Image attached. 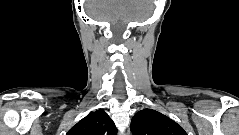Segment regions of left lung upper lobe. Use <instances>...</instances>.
<instances>
[{
	"label": "left lung upper lobe",
	"mask_w": 239,
	"mask_h": 135,
	"mask_svg": "<svg viewBox=\"0 0 239 135\" xmlns=\"http://www.w3.org/2000/svg\"><path fill=\"white\" fill-rule=\"evenodd\" d=\"M131 132L136 135H187L175 121L152 109H143L134 115Z\"/></svg>",
	"instance_id": "1"
}]
</instances>
